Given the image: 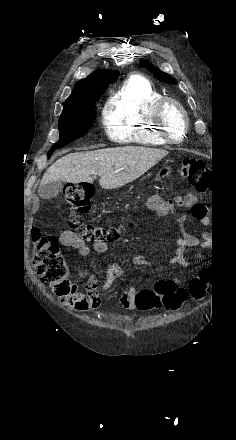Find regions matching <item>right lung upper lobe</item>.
<instances>
[{"instance_id":"right-lung-upper-lobe-1","label":"right lung upper lobe","mask_w":236,"mask_h":440,"mask_svg":"<svg viewBox=\"0 0 236 440\" xmlns=\"http://www.w3.org/2000/svg\"><path fill=\"white\" fill-rule=\"evenodd\" d=\"M119 75L118 71H97L85 79L80 80L75 86L71 95L65 102H71L80 98L98 95L113 83Z\"/></svg>"}]
</instances>
